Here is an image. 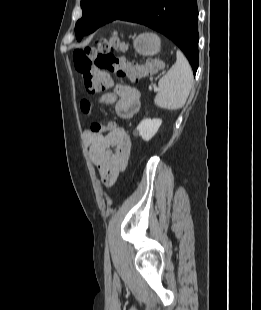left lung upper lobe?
Wrapping results in <instances>:
<instances>
[{
	"label": "left lung upper lobe",
	"mask_w": 261,
	"mask_h": 310,
	"mask_svg": "<svg viewBox=\"0 0 261 310\" xmlns=\"http://www.w3.org/2000/svg\"><path fill=\"white\" fill-rule=\"evenodd\" d=\"M130 0H81L82 18L75 26L76 37L80 35L90 23H109L122 14Z\"/></svg>",
	"instance_id": "left-lung-upper-lobe-1"
}]
</instances>
